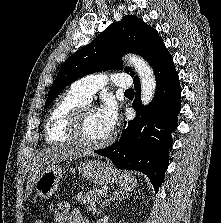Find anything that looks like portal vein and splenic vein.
I'll list each match as a JSON object with an SVG mask.
<instances>
[{"label": "portal vein and splenic vein", "instance_id": "1", "mask_svg": "<svg viewBox=\"0 0 221 223\" xmlns=\"http://www.w3.org/2000/svg\"><path fill=\"white\" fill-rule=\"evenodd\" d=\"M106 194H107V192H105V191H103V192L101 193L102 196H104V195H106Z\"/></svg>", "mask_w": 221, "mask_h": 223}]
</instances>
